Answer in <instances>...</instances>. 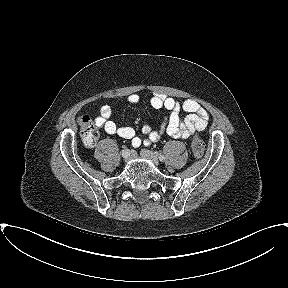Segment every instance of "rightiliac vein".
<instances>
[{"label":"right iliac vein","mask_w":288,"mask_h":288,"mask_svg":"<svg viewBox=\"0 0 288 288\" xmlns=\"http://www.w3.org/2000/svg\"><path fill=\"white\" fill-rule=\"evenodd\" d=\"M123 152V151H122ZM130 153V159L128 161H130L133 157H134V154L130 151H128ZM125 161V160H124ZM128 161H125V162H128Z\"/></svg>","instance_id":"63e3f726"}]
</instances>
